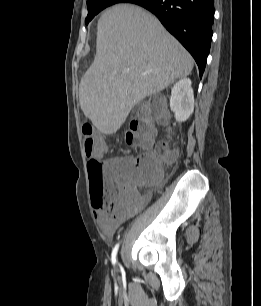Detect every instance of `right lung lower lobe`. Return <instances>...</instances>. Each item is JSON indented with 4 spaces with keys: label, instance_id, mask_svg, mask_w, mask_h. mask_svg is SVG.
I'll list each match as a JSON object with an SVG mask.
<instances>
[{
    "label": "right lung lower lobe",
    "instance_id": "1",
    "mask_svg": "<svg viewBox=\"0 0 261 306\" xmlns=\"http://www.w3.org/2000/svg\"><path fill=\"white\" fill-rule=\"evenodd\" d=\"M161 21L195 59L200 77L209 54L214 0H134Z\"/></svg>",
    "mask_w": 261,
    "mask_h": 306
}]
</instances>
